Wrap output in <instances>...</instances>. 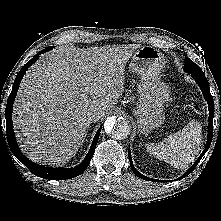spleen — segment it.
<instances>
[{
  "label": "spleen",
  "mask_w": 221,
  "mask_h": 221,
  "mask_svg": "<svg viewBox=\"0 0 221 221\" xmlns=\"http://www.w3.org/2000/svg\"><path fill=\"white\" fill-rule=\"evenodd\" d=\"M201 140V125L192 121L163 142L146 144V148L151 155L174 168L187 169L198 154Z\"/></svg>",
  "instance_id": "spleen-1"
}]
</instances>
